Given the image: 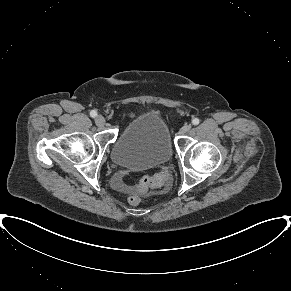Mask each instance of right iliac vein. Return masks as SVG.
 <instances>
[{"label":"right iliac vein","instance_id":"1","mask_svg":"<svg viewBox=\"0 0 291 291\" xmlns=\"http://www.w3.org/2000/svg\"><path fill=\"white\" fill-rule=\"evenodd\" d=\"M105 118L101 115H98L96 118H95V123L98 125V126H104L105 125Z\"/></svg>","mask_w":291,"mask_h":291}]
</instances>
